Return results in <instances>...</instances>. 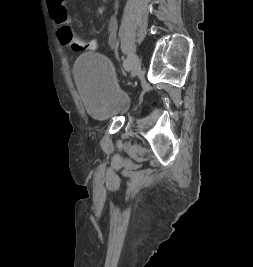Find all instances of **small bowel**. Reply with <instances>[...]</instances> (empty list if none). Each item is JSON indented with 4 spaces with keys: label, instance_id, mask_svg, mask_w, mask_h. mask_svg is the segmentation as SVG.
<instances>
[{
    "label": "small bowel",
    "instance_id": "obj_1",
    "mask_svg": "<svg viewBox=\"0 0 253 267\" xmlns=\"http://www.w3.org/2000/svg\"><path fill=\"white\" fill-rule=\"evenodd\" d=\"M47 6L54 21L59 25L71 27V21L65 0H47ZM118 21L112 16L107 24V42L110 47H115L117 42Z\"/></svg>",
    "mask_w": 253,
    "mask_h": 267
}]
</instances>
